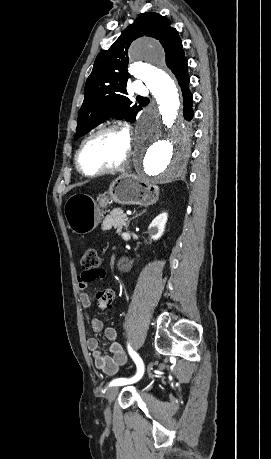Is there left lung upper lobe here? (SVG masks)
<instances>
[{
  "label": "left lung upper lobe",
  "instance_id": "5c2ea615",
  "mask_svg": "<svg viewBox=\"0 0 271 459\" xmlns=\"http://www.w3.org/2000/svg\"><path fill=\"white\" fill-rule=\"evenodd\" d=\"M149 36L160 41L166 53V65L171 71L186 59L182 42L175 28L164 16L149 12L133 24L105 51L96 57L93 70L87 78L84 101L78 114L75 139L88 133L113 116L134 122L142 109L126 97L128 48L133 40Z\"/></svg>",
  "mask_w": 271,
  "mask_h": 459
}]
</instances>
